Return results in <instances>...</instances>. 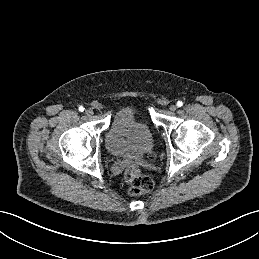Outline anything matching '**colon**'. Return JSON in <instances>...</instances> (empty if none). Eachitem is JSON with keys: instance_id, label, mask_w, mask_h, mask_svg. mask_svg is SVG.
Instances as JSON below:
<instances>
[{"instance_id": "5ec220e1", "label": "colon", "mask_w": 259, "mask_h": 259, "mask_svg": "<svg viewBox=\"0 0 259 259\" xmlns=\"http://www.w3.org/2000/svg\"><path fill=\"white\" fill-rule=\"evenodd\" d=\"M124 180L130 195L138 196L150 192L154 187L151 177L142 173L138 164H130L124 172Z\"/></svg>"}]
</instances>
